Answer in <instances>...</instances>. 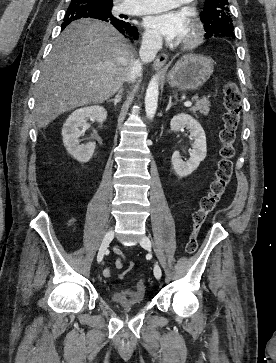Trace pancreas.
Instances as JSON below:
<instances>
[{"label": "pancreas", "instance_id": "1", "mask_svg": "<svg viewBox=\"0 0 276 363\" xmlns=\"http://www.w3.org/2000/svg\"><path fill=\"white\" fill-rule=\"evenodd\" d=\"M193 100L195 101V105L189 109L192 113H196L197 111H199L203 115L209 114L210 102L208 99H199L198 97H193Z\"/></svg>", "mask_w": 276, "mask_h": 363}]
</instances>
